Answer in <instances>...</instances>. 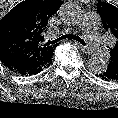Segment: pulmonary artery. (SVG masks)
Returning a JSON list of instances; mask_svg holds the SVG:
<instances>
[{
	"label": "pulmonary artery",
	"mask_w": 118,
	"mask_h": 118,
	"mask_svg": "<svg viewBox=\"0 0 118 118\" xmlns=\"http://www.w3.org/2000/svg\"><path fill=\"white\" fill-rule=\"evenodd\" d=\"M99 18L95 12H88L83 17V30L91 49L100 57L107 58L108 50L98 33Z\"/></svg>",
	"instance_id": "1"
}]
</instances>
